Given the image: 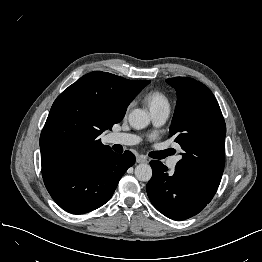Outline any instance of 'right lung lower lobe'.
Wrapping results in <instances>:
<instances>
[{
  "mask_svg": "<svg viewBox=\"0 0 262 262\" xmlns=\"http://www.w3.org/2000/svg\"><path fill=\"white\" fill-rule=\"evenodd\" d=\"M135 162L126 151L81 155L42 161L44 184L53 200L65 211L83 214L95 210L112 197L119 180Z\"/></svg>",
  "mask_w": 262,
  "mask_h": 262,
  "instance_id": "obj_1",
  "label": "right lung lower lobe"
}]
</instances>
